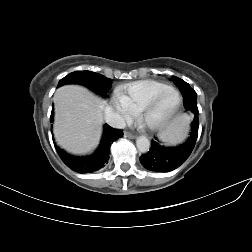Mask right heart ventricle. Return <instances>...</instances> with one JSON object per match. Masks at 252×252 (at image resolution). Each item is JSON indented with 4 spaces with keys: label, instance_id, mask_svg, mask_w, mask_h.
I'll return each instance as SVG.
<instances>
[{
    "label": "right heart ventricle",
    "instance_id": "e07e8e85",
    "mask_svg": "<svg viewBox=\"0 0 252 252\" xmlns=\"http://www.w3.org/2000/svg\"><path fill=\"white\" fill-rule=\"evenodd\" d=\"M171 88L166 83L155 80H141L121 85L116 91L123 94L131 107L138 111L147 101Z\"/></svg>",
    "mask_w": 252,
    "mask_h": 252
}]
</instances>
